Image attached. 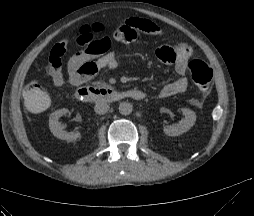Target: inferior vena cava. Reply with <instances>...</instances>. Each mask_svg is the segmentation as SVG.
Returning a JSON list of instances; mask_svg holds the SVG:
<instances>
[{
	"mask_svg": "<svg viewBox=\"0 0 254 216\" xmlns=\"http://www.w3.org/2000/svg\"><path fill=\"white\" fill-rule=\"evenodd\" d=\"M94 110L97 114L103 115L109 110V105L106 102H97L95 104Z\"/></svg>",
	"mask_w": 254,
	"mask_h": 216,
	"instance_id": "inferior-vena-cava-1",
	"label": "inferior vena cava"
}]
</instances>
